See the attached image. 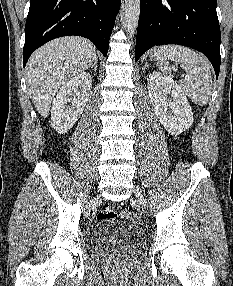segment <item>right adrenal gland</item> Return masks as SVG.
<instances>
[{
  "mask_svg": "<svg viewBox=\"0 0 233 286\" xmlns=\"http://www.w3.org/2000/svg\"><path fill=\"white\" fill-rule=\"evenodd\" d=\"M97 63H98V59L96 58L94 63L90 66L91 68L94 69V71H97Z\"/></svg>",
  "mask_w": 233,
  "mask_h": 286,
  "instance_id": "2a0ac1e0",
  "label": "right adrenal gland"
}]
</instances>
